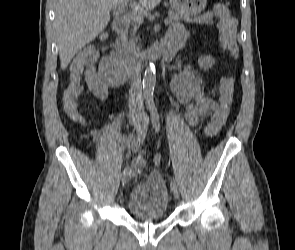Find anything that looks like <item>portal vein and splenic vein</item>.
<instances>
[{
	"mask_svg": "<svg viewBox=\"0 0 295 250\" xmlns=\"http://www.w3.org/2000/svg\"><path fill=\"white\" fill-rule=\"evenodd\" d=\"M126 6H127V2H123L121 4L118 5V11L120 13H124L126 10ZM130 17L135 20L136 22H138L139 24L143 22V17L142 15L135 9L133 8L130 12H129ZM170 23V19L166 18L164 19V24L168 25Z\"/></svg>",
	"mask_w": 295,
	"mask_h": 250,
	"instance_id": "portal-vein-and-splenic-vein-1",
	"label": "portal vein and splenic vein"
}]
</instances>
